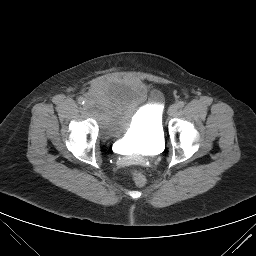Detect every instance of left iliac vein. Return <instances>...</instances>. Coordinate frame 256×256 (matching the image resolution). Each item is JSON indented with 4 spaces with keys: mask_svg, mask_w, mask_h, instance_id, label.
I'll use <instances>...</instances> for the list:
<instances>
[{
    "mask_svg": "<svg viewBox=\"0 0 256 256\" xmlns=\"http://www.w3.org/2000/svg\"><path fill=\"white\" fill-rule=\"evenodd\" d=\"M177 110H178V106H177V105H175V104L171 105V106L169 107V109H168V115H169V116L175 115V113L177 112Z\"/></svg>",
    "mask_w": 256,
    "mask_h": 256,
    "instance_id": "1",
    "label": "left iliac vein"
}]
</instances>
